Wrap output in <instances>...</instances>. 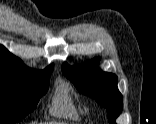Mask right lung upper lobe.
Returning <instances> with one entry per match:
<instances>
[{"label": "right lung upper lobe", "instance_id": "obj_1", "mask_svg": "<svg viewBox=\"0 0 156 124\" xmlns=\"http://www.w3.org/2000/svg\"><path fill=\"white\" fill-rule=\"evenodd\" d=\"M53 67L51 64L42 71L28 68L18 57L0 45V74L38 78L51 75Z\"/></svg>", "mask_w": 156, "mask_h": 124}]
</instances>
